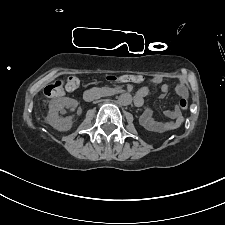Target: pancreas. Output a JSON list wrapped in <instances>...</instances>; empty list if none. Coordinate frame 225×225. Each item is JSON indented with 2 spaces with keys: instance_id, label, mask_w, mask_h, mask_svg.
I'll use <instances>...</instances> for the list:
<instances>
[{
  "instance_id": "cf45deb5",
  "label": "pancreas",
  "mask_w": 225,
  "mask_h": 225,
  "mask_svg": "<svg viewBox=\"0 0 225 225\" xmlns=\"http://www.w3.org/2000/svg\"><path fill=\"white\" fill-rule=\"evenodd\" d=\"M113 91H114V89L109 88V87H103V88H101V92H102L104 95H109V94H111Z\"/></svg>"
}]
</instances>
